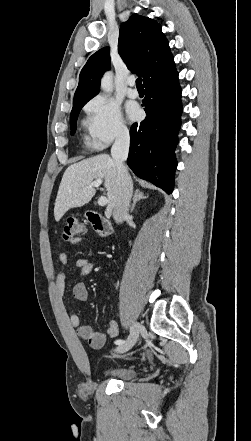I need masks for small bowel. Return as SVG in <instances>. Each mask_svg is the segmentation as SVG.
I'll use <instances>...</instances> for the list:
<instances>
[{"instance_id": "obj_1", "label": "small bowel", "mask_w": 251, "mask_h": 441, "mask_svg": "<svg viewBox=\"0 0 251 441\" xmlns=\"http://www.w3.org/2000/svg\"><path fill=\"white\" fill-rule=\"evenodd\" d=\"M81 242V238H74L73 244ZM59 261L62 265L69 263V256L65 252L59 254ZM75 267L80 276H86L93 270V264L86 258H78L75 262ZM67 272L61 271L56 275V289L61 297H64L66 292ZM73 296L78 301H86L88 298V290L83 282H78L73 286ZM71 325L77 330L79 336L86 340L94 349H101L107 340V337H116L119 334L118 324L112 320L109 322L105 332H95L92 326L83 321L76 313L72 312L69 315Z\"/></svg>"}]
</instances>
